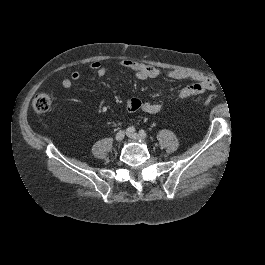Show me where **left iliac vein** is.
I'll return each mask as SVG.
<instances>
[{"label": "left iliac vein", "instance_id": "left-iliac-vein-1", "mask_svg": "<svg viewBox=\"0 0 265 265\" xmlns=\"http://www.w3.org/2000/svg\"><path fill=\"white\" fill-rule=\"evenodd\" d=\"M131 139H133V140H141V141H145V137H142V136H140L139 134H137V133H128L127 134Z\"/></svg>", "mask_w": 265, "mask_h": 265}]
</instances>
